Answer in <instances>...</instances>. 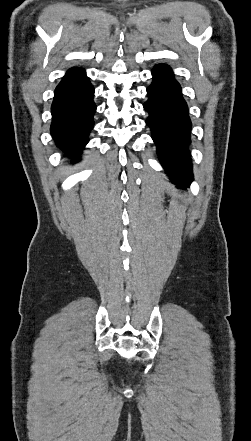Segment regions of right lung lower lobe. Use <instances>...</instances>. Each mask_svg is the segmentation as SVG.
Returning a JSON list of instances; mask_svg holds the SVG:
<instances>
[{
    "instance_id": "1",
    "label": "right lung lower lobe",
    "mask_w": 251,
    "mask_h": 441,
    "mask_svg": "<svg viewBox=\"0 0 251 441\" xmlns=\"http://www.w3.org/2000/svg\"><path fill=\"white\" fill-rule=\"evenodd\" d=\"M93 96V86L84 69L78 67L67 71L54 92L51 135L56 146L74 162L78 161L94 125Z\"/></svg>"
}]
</instances>
